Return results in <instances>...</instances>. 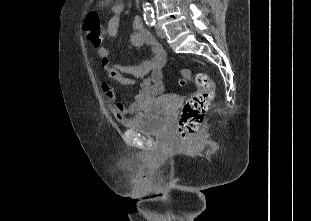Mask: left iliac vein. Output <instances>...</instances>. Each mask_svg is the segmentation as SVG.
<instances>
[{"instance_id":"1","label":"left iliac vein","mask_w":311,"mask_h":221,"mask_svg":"<svg viewBox=\"0 0 311 221\" xmlns=\"http://www.w3.org/2000/svg\"><path fill=\"white\" fill-rule=\"evenodd\" d=\"M156 33H157L158 37H160V38L166 37L164 29L159 24L156 25Z\"/></svg>"}]
</instances>
